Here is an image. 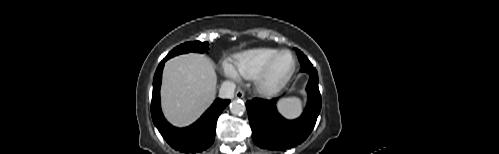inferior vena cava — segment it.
Here are the masks:
<instances>
[{
	"label": "inferior vena cava",
	"instance_id": "inferior-vena-cava-1",
	"mask_svg": "<svg viewBox=\"0 0 499 154\" xmlns=\"http://www.w3.org/2000/svg\"><path fill=\"white\" fill-rule=\"evenodd\" d=\"M235 84L231 81H225L222 83L219 90V97L222 99H231L234 96Z\"/></svg>",
	"mask_w": 499,
	"mask_h": 154
}]
</instances>
